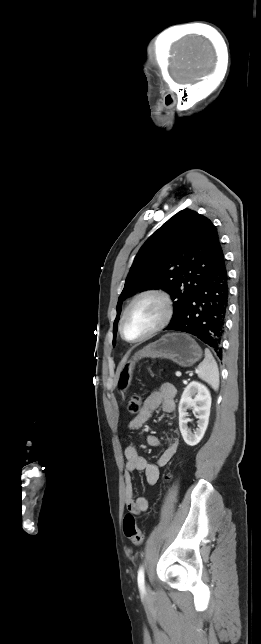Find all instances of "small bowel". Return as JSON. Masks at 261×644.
I'll return each instance as SVG.
<instances>
[{
  "label": "small bowel",
  "instance_id": "small-bowel-1",
  "mask_svg": "<svg viewBox=\"0 0 261 644\" xmlns=\"http://www.w3.org/2000/svg\"><path fill=\"white\" fill-rule=\"evenodd\" d=\"M176 388L170 383H164L157 389H154L145 399L142 409L137 416H135L128 424L130 430H138L150 419L152 413L159 407L166 414L174 413L176 409L175 404ZM148 445L158 447L161 445L160 438L155 434H149L146 438ZM178 436L176 431H173L170 437L168 446L160 454L157 460V465L149 464L144 457H142L134 445H129L125 449V471H124V503L129 512L133 514H140L148 510L149 504L145 497H137L132 474L135 471H142L145 474L146 481L149 485H154L159 480V467L165 466L175 455L178 448Z\"/></svg>",
  "mask_w": 261,
  "mask_h": 644
}]
</instances>
